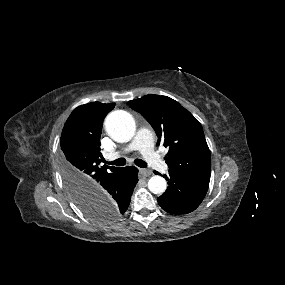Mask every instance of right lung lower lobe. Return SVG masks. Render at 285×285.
I'll return each instance as SVG.
<instances>
[{"mask_svg":"<svg viewBox=\"0 0 285 285\" xmlns=\"http://www.w3.org/2000/svg\"><path fill=\"white\" fill-rule=\"evenodd\" d=\"M138 182V169L134 166L121 168L108 175L94 188V201L109 205L118 217L123 215L130 204L131 195Z\"/></svg>","mask_w":285,"mask_h":285,"instance_id":"obj_1","label":"right lung lower lobe"}]
</instances>
